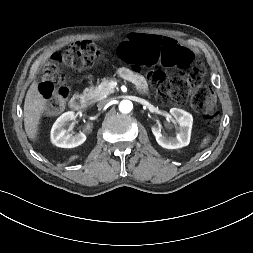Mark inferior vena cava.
Masks as SVG:
<instances>
[{"label":"inferior vena cava","instance_id":"inferior-vena-cava-1","mask_svg":"<svg viewBox=\"0 0 253 253\" xmlns=\"http://www.w3.org/2000/svg\"><path fill=\"white\" fill-rule=\"evenodd\" d=\"M108 102H109L108 99L101 100V101L97 104V107H98V108H103L105 105H107Z\"/></svg>","mask_w":253,"mask_h":253}]
</instances>
